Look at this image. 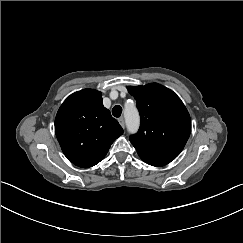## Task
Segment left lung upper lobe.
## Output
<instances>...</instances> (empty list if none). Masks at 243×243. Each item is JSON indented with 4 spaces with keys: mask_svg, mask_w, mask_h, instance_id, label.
I'll return each instance as SVG.
<instances>
[{
    "mask_svg": "<svg viewBox=\"0 0 243 243\" xmlns=\"http://www.w3.org/2000/svg\"><path fill=\"white\" fill-rule=\"evenodd\" d=\"M141 117L137 134L130 136L140 158L164 166L183 150L191 132V118L180 98L170 89L151 83L129 86Z\"/></svg>",
    "mask_w": 243,
    "mask_h": 243,
    "instance_id": "5c2ea615",
    "label": "left lung upper lobe"
}]
</instances>
